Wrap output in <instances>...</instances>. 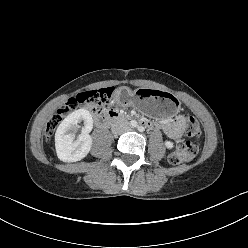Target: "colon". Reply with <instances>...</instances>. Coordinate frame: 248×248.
<instances>
[{"mask_svg":"<svg viewBox=\"0 0 248 248\" xmlns=\"http://www.w3.org/2000/svg\"><path fill=\"white\" fill-rule=\"evenodd\" d=\"M114 88H102L82 92L73 98H70L63 108L57 111L48 121L45 129V138L47 141L51 137L62 121L69 113L75 110L79 105H85L96 113H101L113 104ZM201 133L200 125L197 120L190 117L187 122V135L189 137H198ZM198 152V145L191 141H180L175 151L169 156V161L173 164L186 163L194 159Z\"/></svg>","mask_w":248,"mask_h":248,"instance_id":"obj_1","label":"colon"}]
</instances>
